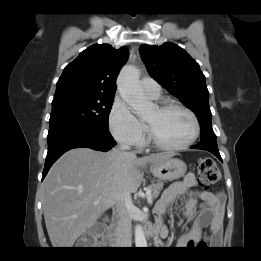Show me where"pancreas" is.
Masks as SVG:
<instances>
[{
  "instance_id": "1",
  "label": "pancreas",
  "mask_w": 261,
  "mask_h": 261,
  "mask_svg": "<svg viewBox=\"0 0 261 261\" xmlns=\"http://www.w3.org/2000/svg\"><path fill=\"white\" fill-rule=\"evenodd\" d=\"M149 189L151 190V197L157 198L159 196L161 190L163 189V183L162 182L152 183L149 186Z\"/></svg>"
}]
</instances>
